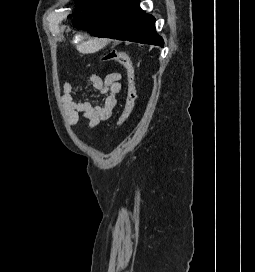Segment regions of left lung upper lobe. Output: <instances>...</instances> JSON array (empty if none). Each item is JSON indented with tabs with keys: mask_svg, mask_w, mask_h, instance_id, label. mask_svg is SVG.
<instances>
[{
	"mask_svg": "<svg viewBox=\"0 0 255 272\" xmlns=\"http://www.w3.org/2000/svg\"><path fill=\"white\" fill-rule=\"evenodd\" d=\"M78 1L80 2V8H84L91 0H78Z\"/></svg>",
	"mask_w": 255,
	"mask_h": 272,
	"instance_id": "left-lung-upper-lobe-1",
	"label": "left lung upper lobe"
}]
</instances>
